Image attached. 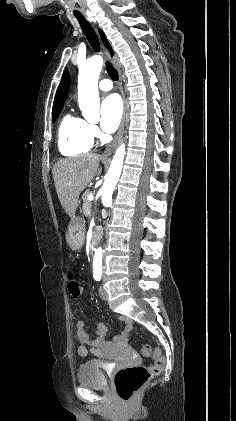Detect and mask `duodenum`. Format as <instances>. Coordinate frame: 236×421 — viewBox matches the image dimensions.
I'll use <instances>...</instances> for the list:
<instances>
[{"instance_id":"duodenum-1","label":"duodenum","mask_w":236,"mask_h":421,"mask_svg":"<svg viewBox=\"0 0 236 421\" xmlns=\"http://www.w3.org/2000/svg\"><path fill=\"white\" fill-rule=\"evenodd\" d=\"M101 234L102 233L100 229H96L93 232L92 240H91L92 247H94L98 243L99 239L101 238ZM130 328H131V324L127 323L126 329L129 330ZM104 336H105V332L102 329H99L98 338L94 341H89L87 334L82 329L80 330V333H79V338L81 342L83 344H90L93 347H95L93 352L95 355L99 357H104V356H107L108 354V344L105 342ZM126 336H127V331L123 333L122 339H125Z\"/></svg>"}]
</instances>
